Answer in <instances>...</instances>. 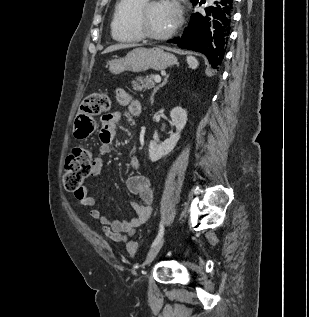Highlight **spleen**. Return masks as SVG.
Returning <instances> with one entry per match:
<instances>
[{"label": "spleen", "mask_w": 309, "mask_h": 317, "mask_svg": "<svg viewBox=\"0 0 309 317\" xmlns=\"http://www.w3.org/2000/svg\"><path fill=\"white\" fill-rule=\"evenodd\" d=\"M186 60L189 65V68L191 69H196L199 65L197 59L193 56H188Z\"/></svg>", "instance_id": "obj_1"}]
</instances>
